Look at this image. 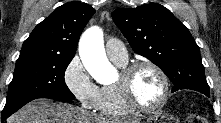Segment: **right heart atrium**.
Segmentation results:
<instances>
[{"instance_id": "1", "label": "right heart atrium", "mask_w": 221, "mask_h": 123, "mask_svg": "<svg viewBox=\"0 0 221 123\" xmlns=\"http://www.w3.org/2000/svg\"><path fill=\"white\" fill-rule=\"evenodd\" d=\"M64 82L83 108L97 109L100 88L93 82L78 56L68 63L64 71Z\"/></svg>"}]
</instances>
